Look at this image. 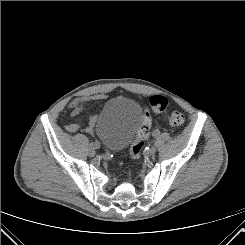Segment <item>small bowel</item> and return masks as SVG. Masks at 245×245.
I'll list each match as a JSON object with an SVG mask.
<instances>
[{
  "label": "small bowel",
  "mask_w": 245,
  "mask_h": 245,
  "mask_svg": "<svg viewBox=\"0 0 245 245\" xmlns=\"http://www.w3.org/2000/svg\"><path fill=\"white\" fill-rule=\"evenodd\" d=\"M107 98H108V96L106 94L98 93V94H94V95H91V96H88L86 98H83V99L76 101V103L72 106V108L70 110V117L72 118V121L66 125V130L72 134L78 132V130L80 128V124L74 119V117L79 113L81 108L85 104H87L88 102L97 101V100H105ZM95 122H96V120L94 117H89L88 127L86 129V131L88 133H90V134L93 133V128H94Z\"/></svg>",
  "instance_id": "1"
}]
</instances>
